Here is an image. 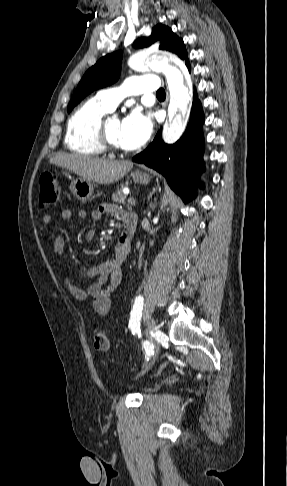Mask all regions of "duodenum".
Wrapping results in <instances>:
<instances>
[{"instance_id": "1", "label": "duodenum", "mask_w": 287, "mask_h": 486, "mask_svg": "<svg viewBox=\"0 0 287 486\" xmlns=\"http://www.w3.org/2000/svg\"><path fill=\"white\" fill-rule=\"evenodd\" d=\"M137 228V218L133 214H127L124 217V227H123V232L119 238L118 244L122 247L125 248L127 247Z\"/></svg>"}]
</instances>
